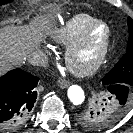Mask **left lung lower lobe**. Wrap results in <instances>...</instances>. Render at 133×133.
I'll return each instance as SVG.
<instances>
[{"label":"left lung lower lobe","mask_w":133,"mask_h":133,"mask_svg":"<svg viewBox=\"0 0 133 133\" xmlns=\"http://www.w3.org/2000/svg\"><path fill=\"white\" fill-rule=\"evenodd\" d=\"M107 86V89L110 92L107 101L110 102L111 107L127 109L129 96L133 93V87L124 84H109Z\"/></svg>","instance_id":"1"}]
</instances>
